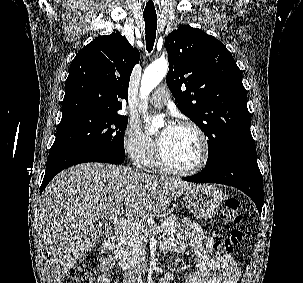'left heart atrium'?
<instances>
[{
  "label": "left heart atrium",
  "mask_w": 303,
  "mask_h": 283,
  "mask_svg": "<svg viewBox=\"0 0 303 283\" xmlns=\"http://www.w3.org/2000/svg\"><path fill=\"white\" fill-rule=\"evenodd\" d=\"M175 128L176 125L173 122L171 121L167 122V124L159 134V138H158L159 144H161L167 137H169Z\"/></svg>",
  "instance_id": "1"
}]
</instances>
